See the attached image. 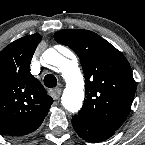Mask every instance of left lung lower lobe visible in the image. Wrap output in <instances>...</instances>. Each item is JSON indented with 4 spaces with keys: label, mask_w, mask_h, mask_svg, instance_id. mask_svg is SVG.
<instances>
[{
    "label": "left lung lower lobe",
    "mask_w": 145,
    "mask_h": 145,
    "mask_svg": "<svg viewBox=\"0 0 145 145\" xmlns=\"http://www.w3.org/2000/svg\"><path fill=\"white\" fill-rule=\"evenodd\" d=\"M72 125L77 134L88 142L104 141L114 134V132L100 130L92 127L77 117L72 118Z\"/></svg>",
    "instance_id": "left-lung-lower-lobe-1"
}]
</instances>
